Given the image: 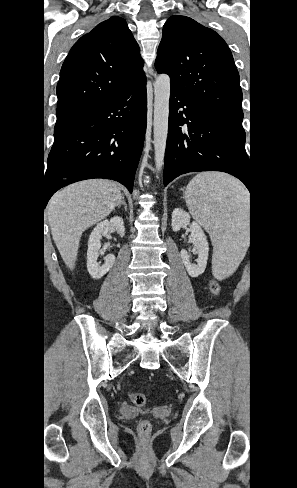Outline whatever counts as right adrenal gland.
Masks as SVG:
<instances>
[{
	"instance_id": "1",
	"label": "right adrenal gland",
	"mask_w": 297,
	"mask_h": 488,
	"mask_svg": "<svg viewBox=\"0 0 297 488\" xmlns=\"http://www.w3.org/2000/svg\"><path fill=\"white\" fill-rule=\"evenodd\" d=\"M121 205H124V209L127 211V204H126V202H125L124 196H122V201H121V203H120V204H118V206H117V207H118V208H120V207H121Z\"/></svg>"
}]
</instances>
